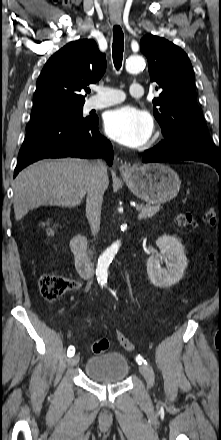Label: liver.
<instances>
[{"label":"liver","mask_w":221,"mask_h":440,"mask_svg":"<svg viewBox=\"0 0 221 440\" xmlns=\"http://www.w3.org/2000/svg\"><path fill=\"white\" fill-rule=\"evenodd\" d=\"M91 164L77 158L42 160L22 170L13 187L16 220L40 206L79 205L88 190Z\"/></svg>","instance_id":"obj_1"}]
</instances>
